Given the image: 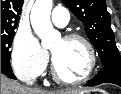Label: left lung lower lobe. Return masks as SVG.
<instances>
[{
    "instance_id": "left-lung-lower-lobe-1",
    "label": "left lung lower lobe",
    "mask_w": 121,
    "mask_h": 94,
    "mask_svg": "<svg viewBox=\"0 0 121 94\" xmlns=\"http://www.w3.org/2000/svg\"><path fill=\"white\" fill-rule=\"evenodd\" d=\"M102 83H113L121 86V66H106L96 76L87 81L85 86H96Z\"/></svg>"
}]
</instances>
